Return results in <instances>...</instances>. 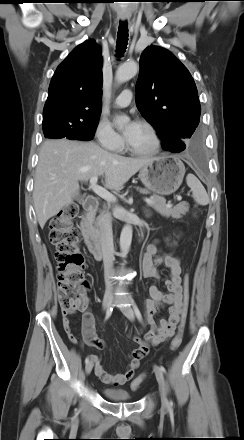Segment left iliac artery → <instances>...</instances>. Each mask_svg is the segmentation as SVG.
Listing matches in <instances>:
<instances>
[{"instance_id":"44dca946","label":"left iliac artery","mask_w":244,"mask_h":440,"mask_svg":"<svg viewBox=\"0 0 244 440\" xmlns=\"http://www.w3.org/2000/svg\"><path fill=\"white\" fill-rule=\"evenodd\" d=\"M132 305H133V309H134V312H135V314H136L137 319H138L140 322H142V315H141V312H140L138 306L136 305V303H135L133 300H132ZM159 369H160L162 372L166 373V369H165L163 366H160ZM172 405H173V402L170 401L169 406H172Z\"/></svg>"}]
</instances>
